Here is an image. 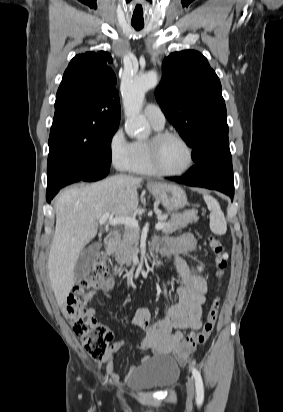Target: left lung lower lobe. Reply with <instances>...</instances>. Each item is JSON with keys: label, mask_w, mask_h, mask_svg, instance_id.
<instances>
[{"label": "left lung lower lobe", "mask_w": 283, "mask_h": 412, "mask_svg": "<svg viewBox=\"0 0 283 412\" xmlns=\"http://www.w3.org/2000/svg\"><path fill=\"white\" fill-rule=\"evenodd\" d=\"M196 165L183 177H168L171 181L188 186L204 187L227 194L231 200L234 196L232 162L221 152L210 156L201 155L195 160Z\"/></svg>", "instance_id": "obj_1"}]
</instances>
